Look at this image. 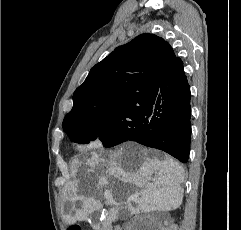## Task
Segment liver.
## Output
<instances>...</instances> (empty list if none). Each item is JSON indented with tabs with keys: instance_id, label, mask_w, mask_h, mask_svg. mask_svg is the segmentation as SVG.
Masks as SVG:
<instances>
[{
	"instance_id": "6515ba94",
	"label": "liver",
	"mask_w": 241,
	"mask_h": 230,
	"mask_svg": "<svg viewBox=\"0 0 241 230\" xmlns=\"http://www.w3.org/2000/svg\"><path fill=\"white\" fill-rule=\"evenodd\" d=\"M149 150L134 143H126L118 150L102 153L92 152L91 157L84 163V168L79 170L77 178L64 188V201L72 202L71 212H63L65 223L73 224L83 221L101 205L96 200V195L102 188L109 186L108 179L116 178L123 183H132L141 188L136 196V207L124 202L120 194L115 193L113 187H108L104 195H110L116 201L127 204L126 208L131 214L151 211H171L180 207L183 201L184 169L179 162L168 155L161 158L149 157ZM78 172V170H76ZM104 173V175H103ZM155 173V176L153 174ZM88 177L97 178L96 190L81 199L82 204L77 208L74 202L78 199L77 192L85 187ZM95 230H101L99 225H94Z\"/></svg>"
}]
</instances>
